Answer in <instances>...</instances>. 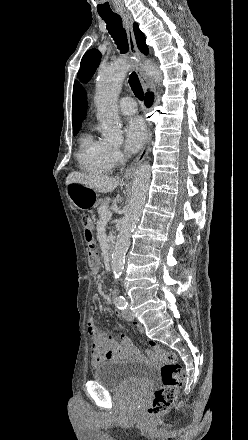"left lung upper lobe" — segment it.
<instances>
[{
  "instance_id": "obj_1",
  "label": "left lung upper lobe",
  "mask_w": 248,
  "mask_h": 440,
  "mask_svg": "<svg viewBox=\"0 0 248 440\" xmlns=\"http://www.w3.org/2000/svg\"><path fill=\"white\" fill-rule=\"evenodd\" d=\"M100 59L101 53L96 49H91L84 54L78 72L82 81L86 82L92 77L100 63Z\"/></svg>"
}]
</instances>
